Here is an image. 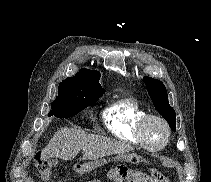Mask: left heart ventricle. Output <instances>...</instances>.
<instances>
[{"label":"left heart ventricle","mask_w":211,"mask_h":182,"mask_svg":"<svg viewBox=\"0 0 211 182\" xmlns=\"http://www.w3.org/2000/svg\"><path fill=\"white\" fill-rule=\"evenodd\" d=\"M145 136L149 145L156 146L164 141L166 133L158 121H150L145 128Z\"/></svg>","instance_id":"obj_1"}]
</instances>
